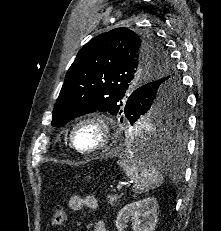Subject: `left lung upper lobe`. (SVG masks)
<instances>
[{"mask_svg": "<svg viewBox=\"0 0 221 231\" xmlns=\"http://www.w3.org/2000/svg\"><path fill=\"white\" fill-rule=\"evenodd\" d=\"M165 45L151 32L116 28L93 38L78 52L53 109L52 126L83 114L150 115L159 126L179 129L185 99ZM140 89L136 104L128 98Z\"/></svg>", "mask_w": 221, "mask_h": 231, "instance_id": "1", "label": "left lung upper lobe"}]
</instances>
